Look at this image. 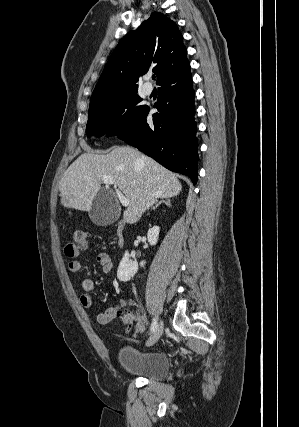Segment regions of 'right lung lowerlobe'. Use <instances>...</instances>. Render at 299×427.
Here are the masks:
<instances>
[{
  "label": "right lung lower lobe",
  "mask_w": 299,
  "mask_h": 427,
  "mask_svg": "<svg viewBox=\"0 0 299 427\" xmlns=\"http://www.w3.org/2000/svg\"><path fill=\"white\" fill-rule=\"evenodd\" d=\"M159 85L153 124L146 120L148 107L138 124L118 137L169 170L189 176L196 184L198 144L190 70Z\"/></svg>",
  "instance_id": "obj_1"
}]
</instances>
